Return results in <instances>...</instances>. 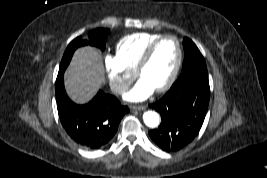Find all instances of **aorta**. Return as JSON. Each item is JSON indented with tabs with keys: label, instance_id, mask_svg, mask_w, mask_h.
I'll list each match as a JSON object with an SVG mask.
<instances>
[{
	"label": "aorta",
	"instance_id": "obj_1",
	"mask_svg": "<svg viewBox=\"0 0 267 178\" xmlns=\"http://www.w3.org/2000/svg\"><path fill=\"white\" fill-rule=\"evenodd\" d=\"M144 123L150 127L155 128L159 125L160 118L159 115L154 111H147L143 114Z\"/></svg>",
	"mask_w": 267,
	"mask_h": 178
}]
</instances>
